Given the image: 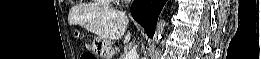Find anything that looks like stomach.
Segmentation results:
<instances>
[{
  "label": "stomach",
  "instance_id": "stomach-1",
  "mask_svg": "<svg viewBox=\"0 0 261 59\" xmlns=\"http://www.w3.org/2000/svg\"><path fill=\"white\" fill-rule=\"evenodd\" d=\"M93 51L102 59H112V41L96 37L93 42Z\"/></svg>",
  "mask_w": 261,
  "mask_h": 59
}]
</instances>
